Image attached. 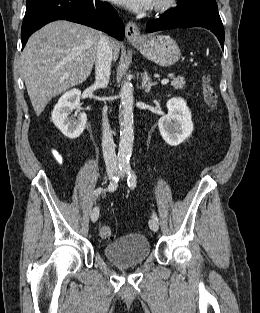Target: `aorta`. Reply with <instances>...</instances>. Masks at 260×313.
<instances>
[{
    "label": "aorta",
    "mask_w": 260,
    "mask_h": 313,
    "mask_svg": "<svg viewBox=\"0 0 260 313\" xmlns=\"http://www.w3.org/2000/svg\"><path fill=\"white\" fill-rule=\"evenodd\" d=\"M121 104L119 108L120 142L118 149V161L128 164L134 141L133 110L134 97L133 86L129 81H124L119 93Z\"/></svg>",
    "instance_id": "aorta-1"
}]
</instances>
